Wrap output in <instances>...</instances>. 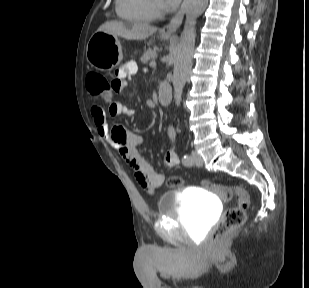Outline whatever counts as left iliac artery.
<instances>
[{
	"label": "left iliac artery",
	"mask_w": 309,
	"mask_h": 288,
	"mask_svg": "<svg viewBox=\"0 0 309 288\" xmlns=\"http://www.w3.org/2000/svg\"><path fill=\"white\" fill-rule=\"evenodd\" d=\"M182 162H183L184 165L190 166L193 163L192 157L188 154H185L182 158Z\"/></svg>",
	"instance_id": "obj_1"
}]
</instances>
